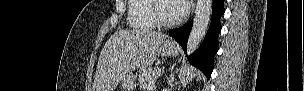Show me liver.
<instances>
[{"label":"liver","mask_w":304,"mask_h":91,"mask_svg":"<svg viewBox=\"0 0 304 91\" xmlns=\"http://www.w3.org/2000/svg\"><path fill=\"white\" fill-rule=\"evenodd\" d=\"M166 35L150 30H119L99 56L93 91H113L125 75L154 63Z\"/></svg>","instance_id":"liver-1"}]
</instances>
